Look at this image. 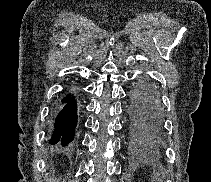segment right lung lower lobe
<instances>
[{
	"mask_svg": "<svg viewBox=\"0 0 211 182\" xmlns=\"http://www.w3.org/2000/svg\"><path fill=\"white\" fill-rule=\"evenodd\" d=\"M62 103L55 118L50 143L55 144L60 141L63 146H67L74 138L77 125V104L75 98L70 96L62 99Z\"/></svg>",
	"mask_w": 211,
	"mask_h": 182,
	"instance_id": "98d812e1",
	"label": "right lung lower lobe"
}]
</instances>
